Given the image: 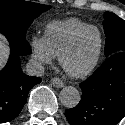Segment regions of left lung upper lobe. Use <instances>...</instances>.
<instances>
[{
	"instance_id": "obj_1",
	"label": "left lung upper lobe",
	"mask_w": 125,
	"mask_h": 125,
	"mask_svg": "<svg viewBox=\"0 0 125 125\" xmlns=\"http://www.w3.org/2000/svg\"><path fill=\"white\" fill-rule=\"evenodd\" d=\"M103 21L106 35L104 54L106 57L125 51V21L116 14L105 12Z\"/></svg>"
}]
</instances>
